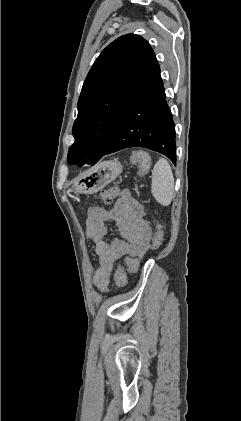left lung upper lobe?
I'll return each mask as SVG.
<instances>
[{"instance_id": "left-lung-upper-lobe-1", "label": "left lung upper lobe", "mask_w": 241, "mask_h": 421, "mask_svg": "<svg viewBox=\"0 0 241 421\" xmlns=\"http://www.w3.org/2000/svg\"><path fill=\"white\" fill-rule=\"evenodd\" d=\"M153 53L145 39L127 34L109 44L98 56L78 100V116L72 128L75 142L69 148V164L98 161L104 155Z\"/></svg>"}]
</instances>
